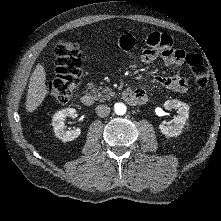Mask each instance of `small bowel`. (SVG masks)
<instances>
[{"label":"small bowel","mask_w":221,"mask_h":221,"mask_svg":"<svg viewBox=\"0 0 221 221\" xmlns=\"http://www.w3.org/2000/svg\"><path fill=\"white\" fill-rule=\"evenodd\" d=\"M144 43L145 48L141 54V61L146 65H151L158 57H161L167 67L178 68L185 60V52L174 48L172 37L167 34L153 32L145 37ZM118 46L124 51H131L135 46V39L131 35H122L118 39ZM152 84L179 93L188 90L186 79L179 74L156 77ZM136 91L144 98L145 102L147 99L146 90L139 87Z\"/></svg>","instance_id":"obj_1"}]
</instances>
